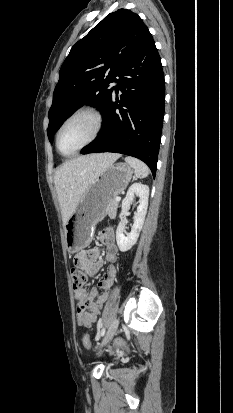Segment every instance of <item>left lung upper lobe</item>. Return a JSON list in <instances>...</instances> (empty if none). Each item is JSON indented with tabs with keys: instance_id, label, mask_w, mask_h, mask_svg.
I'll return each mask as SVG.
<instances>
[{
	"instance_id": "obj_1",
	"label": "left lung upper lobe",
	"mask_w": 233,
	"mask_h": 413,
	"mask_svg": "<svg viewBox=\"0 0 233 413\" xmlns=\"http://www.w3.org/2000/svg\"><path fill=\"white\" fill-rule=\"evenodd\" d=\"M147 26L132 11L108 14L71 48L63 62L49 110V141L64 119L84 103L103 112L111 102L116 81L145 33Z\"/></svg>"
}]
</instances>
